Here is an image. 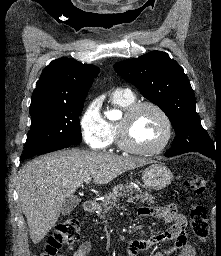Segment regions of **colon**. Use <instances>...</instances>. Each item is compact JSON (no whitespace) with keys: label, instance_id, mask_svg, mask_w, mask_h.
I'll list each match as a JSON object with an SVG mask.
<instances>
[{"label":"colon","instance_id":"1","mask_svg":"<svg viewBox=\"0 0 221 256\" xmlns=\"http://www.w3.org/2000/svg\"><path fill=\"white\" fill-rule=\"evenodd\" d=\"M186 187L195 197L199 198L205 191L206 182L200 175L191 176ZM191 229L194 236L201 242L209 236V222L206 207L196 202L190 212ZM80 224L75 218H69L58 224L49 236L45 250L40 256H56L63 247H71L79 240Z\"/></svg>","mask_w":221,"mask_h":256}]
</instances>
